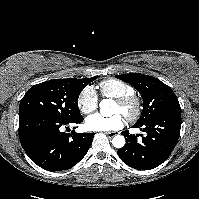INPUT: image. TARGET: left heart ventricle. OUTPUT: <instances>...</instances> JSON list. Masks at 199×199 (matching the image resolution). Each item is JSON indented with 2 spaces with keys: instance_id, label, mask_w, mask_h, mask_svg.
Segmentation results:
<instances>
[{
  "instance_id": "obj_1",
  "label": "left heart ventricle",
  "mask_w": 199,
  "mask_h": 199,
  "mask_svg": "<svg viewBox=\"0 0 199 199\" xmlns=\"http://www.w3.org/2000/svg\"><path fill=\"white\" fill-rule=\"evenodd\" d=\"M114 112L115 113H122L121 107L117 103H115Z\"/></svg>"
}]
</instances>
